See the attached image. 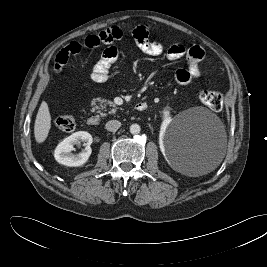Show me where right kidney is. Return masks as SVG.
<instances>
[{
    "label": "right kidney",
    "instance_id": "right-kidney-1",
    "mask_svg": "<svg viewBox=\"0 0 267 267\" xmlns=\"http://www.w3.org/2000/svg\"><path fill=\"white\" fill-rule=\"evenodd\" d=\"M83 142L86 145L85 149L79 154H72L71 151L74 149L73 145ZM93 139L90 133L86 131H78L70 135L61 141L55 151L54 157L55 160L62 165L68 167H77L85 164L90 155H91V147Z\"/></svg>",
    "mask_w": 267,
    "mask_h": 267
}]
</instances>
